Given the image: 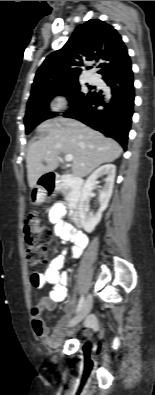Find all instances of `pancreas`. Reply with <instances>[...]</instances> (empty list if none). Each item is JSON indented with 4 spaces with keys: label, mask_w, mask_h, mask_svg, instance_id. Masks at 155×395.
Returning a JSON list of instances; mask_svg holds the SVG:
<instances>
[{
    "label": "pancreas",
    "mask_w": 155,
    "mask_h": 395,
    "mask_svg": "<svg viewBox=\"0 0 155 395\" xmlns=\"http://www.w3.org/2000/svg\"><path fill=\"white\" fill-rule=\"evenodd\" d=\"M62 193L65 195V194H66V189H63V190H62Z\"/></svg>",
    "instance_id": "pancreas-1"
}]
</instances>
